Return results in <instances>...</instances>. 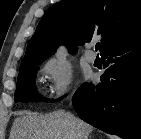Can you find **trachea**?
<instances>
[{"label": "trachea", "mask_w": 141, "mask_h": 139, "mask_svg": "<svg viewBox=\"0 0 141 139\" xmlns=\"http://www.w3.org/2000/svg\"><path fill=\"white\" fill-rule=\"evenodd\" d=\"M95 49L98 50L99 49V43L96 44Z\"/></svg>", "instance_id": "trachea-1"}]
</instances>
